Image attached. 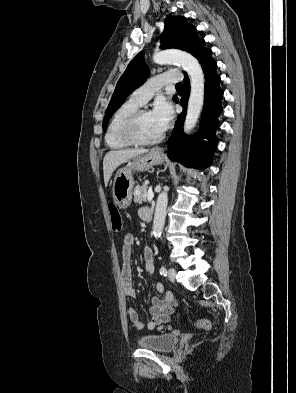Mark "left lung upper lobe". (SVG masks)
Returning a JSON list of instances; mask_svg holds the SVG:
<instances>
[{
	"label": "left lung upper lobe",
	"instance_id": "5c2ea615",
	"mask_svg": "<svg viewBox=\"0 0 296 393\" xmlns=\"http://www.w3.org/2000/svg\"><path fill=\"white\" fill-rule=\"evenodd\" d=\"M204 43L205 41L197 36L196 28L188 24L185 17H172L171 15L166 17L161 35V49H181L191 53L201 62L211 51L205 47ZM148 73L149 70L143 62V53L140 52L130 62L116 85L104 117L103 131L106 130L112 113L122 105L132 91L145 82ZM174 100L177 101V98L174 97Z\"/></svg>",
	"mask_w": 296,
	"mask_h": 393
}]
</instances>
